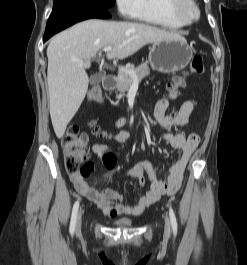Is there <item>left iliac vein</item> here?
I'll use <instances>...</instances> for the list:
<instances>
[{
    "label": "left iliac vein",
    "instance_id": "left-iliac-vein-1",
    "mask_svg": "<svg viewBox=\"0 0 247 265\" xmlns=\"http://www.w3.org/2000/svg\"><path fill=\"white\" fill-rule=\"evenodd\" d=\"M170 232H171L170 222H169L168 217L166 216L165 217V231H164L165 236L169 237L170 236Z\"/></svg>",
    "mask_w": 247,
    "mask_h": 265
}]
</instances>
